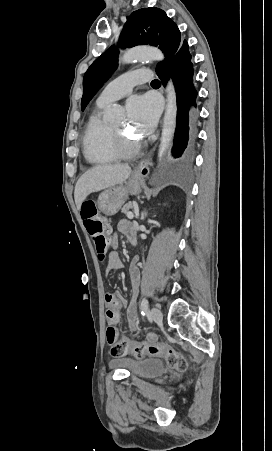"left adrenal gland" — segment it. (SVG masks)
<instances>
[{"instance_id":"left-adrenal-gland-1","label":"left adrenal gland","mask_w":272,"mask_h":451,"mask_svg":"<svg viewBox=\"0 0 272 451\" xmlns=\"http://www.w3.org/2000/svg\"><path fill=\"white\" fill-rule=\"evenodd\" d=\"M145 216H147L146 212H142V214H141V220H144Z\"/></svg>"}]
</instances>
